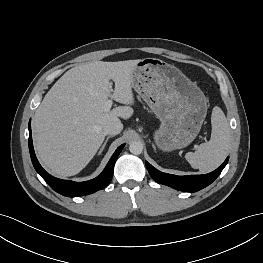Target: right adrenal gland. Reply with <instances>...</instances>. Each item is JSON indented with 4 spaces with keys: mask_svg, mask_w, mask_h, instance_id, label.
Segmentation results:
<instances>
[{
    "mask_svg": "<svg viewBox=\"0 0 263 263\" xmlns=\"http://www.w3.org/2000/svg\"><path fill=\"white\" fill-rule=\"evenodd\" d=\"M113 136H114V135H109V136H107L105 142L103 143L102 147L100 148V151L98 152V155H100V154L103 152V150H104V148H105L108 140H109L110 138H112Z\"/></svg>",
    "mask_w": 263,
    "mask_h": 263,
    "instance_id": "1",
    "label": "right adrenal gland"
}]
</instances>
